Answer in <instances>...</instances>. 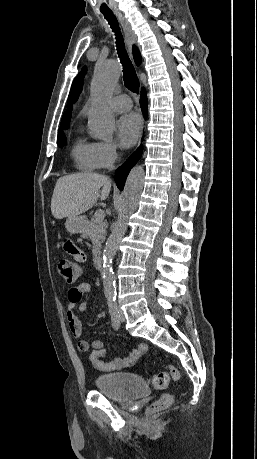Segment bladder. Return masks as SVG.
<instances>
[{
  "label": "bladder",
  "instance_id": "bladder-1",
  "mask_svg": "<svg viewBox=\"0 0 257 459\" xmlns=\"http://www.w3.org/2000/svg\"><path fill=\"white\" fill-rule=\"evenodd\" d=\"M96 389L119 402H131L148 395L145 381L132 373H111L99 375L94 379Z\"/></svg>",
  "mask_w": 257,
  "mask_h": 459
}]
</instances>
